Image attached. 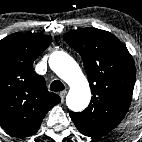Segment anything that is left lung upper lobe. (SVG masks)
Wrapping results in <instances>:
<instances>
[{"label": "left lung upper lobe", "instance_id": "left-lung-upper-lobe-1", "mask_svg": "<svg viewBox=\"0 0 142 142\" xmlns=\"http://www.w3.org/2000/svg\"><path fill=\"white\" fill-rule=\"evenodd\" d=\"M82 57L93 94L82 112H70L77 129L96 137L114 129L126 115L135 83V64L124 44L110 32L82 28L64 35Z\"/></svg>", "mask_w": 142, "mask_h": 142}]
</instances>
